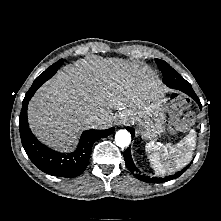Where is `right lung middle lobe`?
<instances>
[{
	"label": "right lung middle lobe",
	"mask_w": 221,
	"mask_h": 221,
	"mask_svg": "<svg viewBox=\"0 0 221 221\" xmlns=\"http://www.w3.org/2000/svg\"><path fill=\"white\" fill-rule=\"evenodd\" d=\"M64 60L60 59L59 61H57L56 63H54L53 65H51L46 71H44L43 73L47 72L49 73L50 70H53L55 68H59L62 64H63Z\"/></svg>",
	"instance_id": "obj_1"
}]
</instances>
